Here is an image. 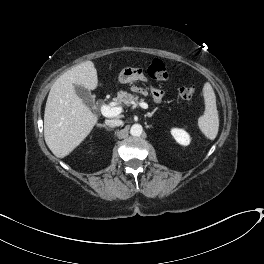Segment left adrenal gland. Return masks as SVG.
<instances>
[{
  "instance_id": "a2214340",
  "label": "left adrenal gland",
  "mask_w": 264,
  "mask_h": 264,
  "mask_svg": "<svg viewBox=\"0 0 264 264\" xmlns=\"http://www.w3.org/2000/svg\"><path fill=\"white\" fill-rule=\"evenodd\" d=\"M158 108H155L151 113H147L145 116L152 117Z\"/></svg>"
}]
</instances>
